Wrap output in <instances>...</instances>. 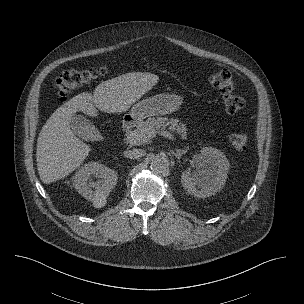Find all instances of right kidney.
Returning <instances> with one entry per match:
<instances>
[{
  "label": "right kidney",
  "mask_w": 304,
  "mask_h": 304,
  "mask_svg": "<svg viewBox=\"0 0 304 304\" xmlns=\"http://www.w3.org/2000/svg\"><path fill=\"white\" fill-rule=\"evenodd\" d=\"M96 179V180H94ZM117 173L105 165L91 161L83 165L73 176L74 188L84 198L105 205L106 198L115 187Z\"/></svg>",
  "instance_id": "obj_1"
}]
</instances>
